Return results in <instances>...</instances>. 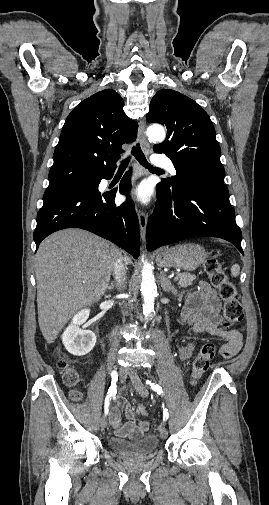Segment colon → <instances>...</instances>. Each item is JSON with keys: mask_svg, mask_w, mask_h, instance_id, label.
<instances>
[{"mask_svg": "<svg viewBox=\"0 0 269 505\" xmlns=\"http://www.w3.org/2000/svg\"><path fill=\"white\" fill-rule=\"evenodd\" d=\"M205 271L209 277L211 285L218 290L219 297L223 301V324L224 329L240 322L244 317L243 306L239 300V295L235 284L226 275L222 264L215 258H210L205 262ZM216 347L212 343L204 344L195 359L193 360L190 382L196 386L203 374L207 371L210 361L215 356ZM57 366L62 373L63 380L68 386H75L79 382L78 372L69 364L66 359H60ZM70 397L74 401L81 399L79 390H73ZM137 413L145 415L146 409L143 405H138Z\"/></svg>", "mask_w": 269, "mask_h": 505, "instance_id": "colon-1", "label": "colon"}]
</instances>
